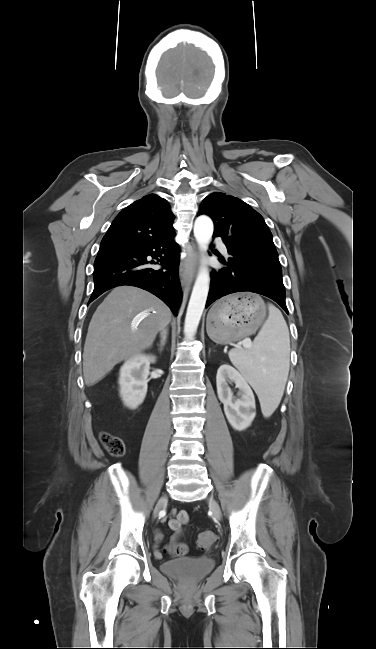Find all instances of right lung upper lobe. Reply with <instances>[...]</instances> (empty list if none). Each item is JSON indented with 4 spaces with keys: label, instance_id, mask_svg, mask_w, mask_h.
Here are the masks:
<instances>
[{
    "label": "right lung upper lobe",
    "instance_id": "1",
    "mask_svg": "<svg viewBox=\"0 0 376 649\" xmlns=\"http://www.w3.org/2000/svg\"><path fill=\"white\" fill-rule=\"evenodd\" d=\"M167 200L150 194L123 209L103 237L98 254L134 248L174 233Z\"/></svg>",
    "mask_w": 376,
    "mask_h": 649
}]
</instances>
